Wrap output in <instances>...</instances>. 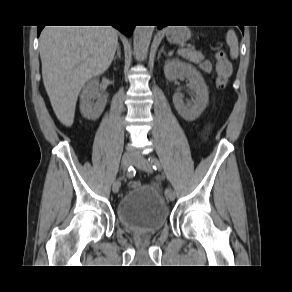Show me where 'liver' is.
I'll return each instance as SVG.
<instances>
[{
  "label": "liver",
  "instance_id": "liver-1",
  "mask_svg": "<svg viewBox=\"0 0 292 292\" xmlns=\"http://www.w3.org/2000/svg\"><path fill=\"white\" fill-rule=\"evenodd\" d=\"M118 45L112 26H46L39 39L42 77L58 120L70 127L78 95L110 66Z\"/></svg>",
  "mask_w": 292,
  "mask_h": 292
}]
</instances>
